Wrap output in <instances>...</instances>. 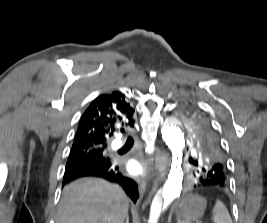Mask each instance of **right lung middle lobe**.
Wrapping results in <instances>:
<instances>
[{"mask_svg": "<svg viewBox=\"0 0 267 223\" xmlns=\"http://www.w3.org/2000/svg\"><path fill=\"white\" fill-rule=\"evenodd\" d=\"M92 161L98 163H108L111 160L106 149L92 145H83L78 148L71 149L65 170L79 166L82 163Z\"/></svg>", "mask_w": 267, "mask_h": 223, "instance_id": "right-lung-middle-lobe-1", "label": "right lung middle lobe"}]
</instances>
